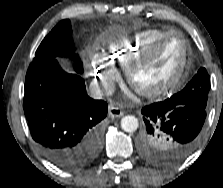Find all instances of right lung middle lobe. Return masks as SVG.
Here are the masks:
<instances>
[{"label": "right lung middle lobe", "instance_id": "dd1d6c3e", "mask_svg": "<svg viewBox=\"0 0 223 188\" xmlns=\"http://www.w3.org/2000/svg\"><path fill=\"white\" fill-rule=\"evenodd\" d=\"M70 21L65 19L59 22L44 38L38 47L33 61L48 58L71 57L74 60V69L77 73L83 72V65L79 57L74 53V43L71 37Z\"/></svg>", "mask_w": 223, "mask_h": 188}]
</instances>
